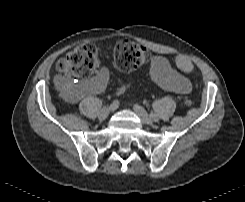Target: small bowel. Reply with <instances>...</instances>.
<instances>
[{
  "label": "small bowel",
  "mask_w": 245,
  "mask_h": 202,
  "mask_svg": "<svg viewBox=\"0 0 245 202\" xmlns=\"http://www.w3.org/2000/svg\"><path fill=\"white\" fill-rule=\"evenodd\" d=\"M185 62H188L192 68L191 62L186 57L182 55L175 57L174 63L176 67L183 72L185 71L181 65ZM109 78V70L107 68H101L92 78L76 82L74 88L67 96V104H77L85 97L103 92L108 85ZM146 79L178 94H185L191 88L190 80L176 71L167 59L160 56L152 58ZM124 89V86H118L116 93H122Z\"/></svg>",
  "instance_id": "small-bowel-1"
}]
</instances>
